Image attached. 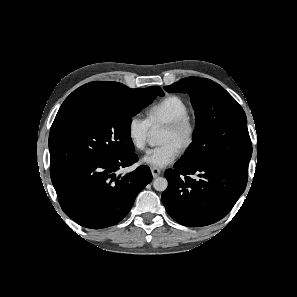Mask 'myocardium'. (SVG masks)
I'll return each mask as SVG.
<instances>
[{"instance_id":"1","label":"myocardium","mask_w":297,"mask_h":297,"mask_svg":"<svg viewBox=\"0 0 297 297\" xmlns=\"http://www.w3.org/2000/svg\"><path fill=\"white\" fill-rule=\"evenodd\" d=\"M162 129L184 133V140L179 148L181 152L187 151L194 143L196 136V123L189 113L165 124Z\"/></svg>"}]
</instances>
